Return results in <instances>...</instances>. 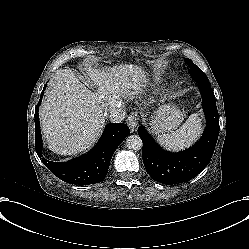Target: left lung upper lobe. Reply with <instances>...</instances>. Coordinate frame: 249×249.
<instances>
[{
  "label": "left lung upper lobe",
  "mask_w": 249,
  "mask_h": 249,
  "mask_svg": "<svg viewBox=\"0 0 249 249\" xmlns=\"http://www.w3.org/2000/svg\"><path fill=\"white\" fill-rule=\"evenodd\" d=\"M186 63L188 64L189 68L191 70H193L194 72V79L196 81H205V82H209L207 76L205 75V73L199 69L198 66H196L190 59H185Z\"/></svg>",
  "instance_id": "5c2ea615"
}]
</instances>
